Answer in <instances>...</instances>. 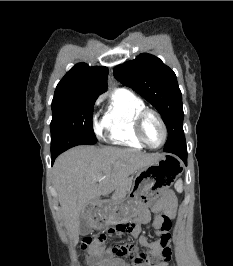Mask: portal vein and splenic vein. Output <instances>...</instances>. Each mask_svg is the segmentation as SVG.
<instances>
[{
    "instance_id": "portal-vein-and-splenic-vein-1",
    "label": "portal vein and splenic vein",
    "mask_w": 233,
    "mask_h": 266,
    "mask_svg": "<svg viewBox=\"0 0 233 266\" xmlns=\"http://www.w3.org/2000/svg\"><path fill=\"white\" fill-rule=\"evenodd\" d=\"M96 178H97V179H100V178H101V176H100V175H98Z\"/></svg>"
}]
</instances>
